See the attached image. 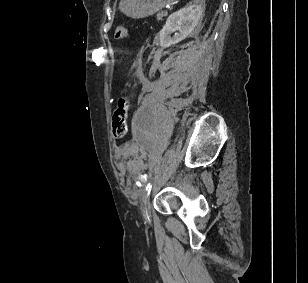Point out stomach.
I'll list each match as a JSON object with an SVG mask.
<instances>
[{
  "instance_id": "obj_1",
  "label": "stomach",
  "mask_w": 308,
  "mask_h": 283,
  "mask_svg": "<svg viewBox=\"0 0 308 283\" xmlns=\"http://www.w3.org/2000/svg\"><path fill=\"white\" fill-rule=\"evenodd\" d=\"M174 0H121L119 9L134 19L151 16Z\"/></svg>"
}]
</instances>
